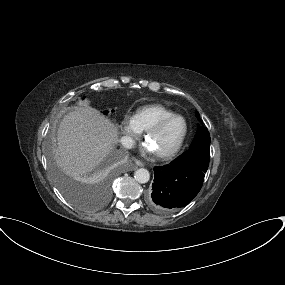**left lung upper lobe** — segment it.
<instances>
[{
  "instance_id": "1",
  "label": "left lung upper lobe",
  "mask_w": 285,
  "mask_h": 285,
  "mask_svg": "<svg viewBox=\"0 0 285 285\" xmlns=\"http://www.w3.org/2000/svg\"><path fill=\"white\" fill-rule=\"evenodd\" d=\"M197 117L199 114L197 113ZM210 160V134L207 128L199 126L188 151L179 156L173 164L196 168L206 173Z\"/></svg>"
}]
</instances>
